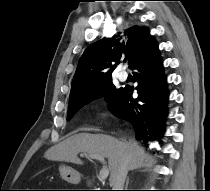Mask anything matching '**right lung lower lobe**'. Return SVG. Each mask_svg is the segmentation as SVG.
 <instances>
[{
    "instance_id": "obj_1",
    "label": "right lung lower lobe",
    "mask_w": 210,
    "mask_h": 191,
    "mask_svg": "<svg viewBox=\"0 0 210 191\" xmlns=\"http://www.w3.org/2000/svg\"><path fill=\"white\" fill-rule=\"evenodd\" d=\"M130 68L136 70L138 97L134 99V89L126 85L109 108L115 115L130 122L137 138L143 142L159 141L165 129L168 91L155 39L137 56Z\"/></svg>"
}]
</instances>
